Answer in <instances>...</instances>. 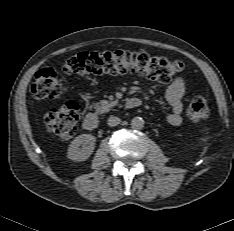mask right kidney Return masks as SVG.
I'll use <instances>...</instances> for the list:
<instances>
[{
  "label": "right kidney",
  "instance_id": "right-kidney-1",
  "mask_svg": "<svg viewBox=\"0 0 234 231\" xmlns=\"http://www.w3.org/2000/svg\"><path fill=\"white\" fill-rule=\"evenodd\" d=\"M95 141V136L91 134L77 136L69 145L68 158L73 161H84L88 159L95 148Z\"/></svg>",
  "mask_w": 234,
  "mask_h": 231
}]
</instances>
